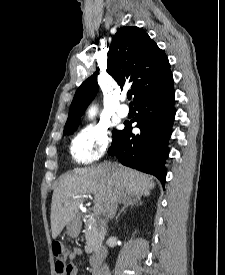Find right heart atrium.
<instances>
[{
  "mask_svg": "<svg viewBox=\"0 0 225 275\" xmlns=\"http://www.w3.org/2000/svg\"><path fill=\"white\" fill-rule=\"evenodd\" d=\"M109 141L107 128L103 126L84 128L72 140L71 156L78 164H92L103 155Z\"/></svg>",
  "mask_w": 225,
  "mask_h": 275,
  "instance_id": "1",
  "label": "right heart atrium"
}]
</instances>
